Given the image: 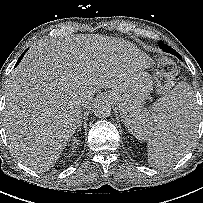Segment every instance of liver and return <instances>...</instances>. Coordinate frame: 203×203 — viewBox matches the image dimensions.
I'll list each match as a JSON object with an SVG mask.
<instances>
[{"instance_id": "6515ba94", "label": "liver", "mask_w": 203, "mask_h": 203, "mask_svg": "<svg viewBox=\"0 0 203 203\" xmlns=\"http://www.w3.org/2000/svg\"><path fill=\"white\" fill-rule=\"evenodd\" d=\"M150 64L125 40L96 35L38 40L6 83L3 114L10 149L31 169L49 170L81 123V102L89 105L101 88L111 89L112 100L114 90ZM166 123L160 135L182 142L185 129Z\"/></svg>"}]
</instances>
